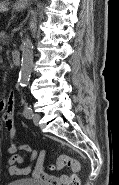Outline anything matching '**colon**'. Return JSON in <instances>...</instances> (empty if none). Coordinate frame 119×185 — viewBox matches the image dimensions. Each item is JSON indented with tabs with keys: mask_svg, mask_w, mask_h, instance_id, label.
<instances>
[{
	"mask_svg": "<svg viewBox=\"0 0 119 185\" xmlns=\"http://www.w3.org/2000/svg\"><path fill=\"white\" fill-rule=\"evenodd\" d=\"M52 169H62L64 167H70L72 174L69 176L66 185H80V179L78 172L80 170V162L76 159L69 157L68 155L61 154L55 160V163L50 166Z\"/></svg>",
	"mask_w": 119,
	"mask_h": 185,
	"instance_id": "5ec220e1",
	"label": "colon"
}]
</instances>
